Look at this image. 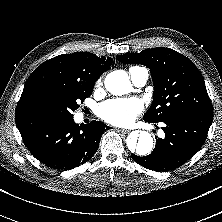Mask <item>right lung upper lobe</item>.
Listing matches in <instances>:
<instances>
[{"mask_svg":"<svg viewBox=\"0 0 222 222\" xmlns=\"http://www.w3.org/2000/svg\"><path fill=\"white\" fill-rule=\"evenodd\" d=\"M112 58L89 52L62 54L42 63L29 76L16 107V115L33 112L36 95L45 87L58 83L94 84L112 64Z\"/></svg>","mask_w":222,"mask_h":222,"instance_id":"obj_1","label":"right lung upper lobe"}]
</instances>
